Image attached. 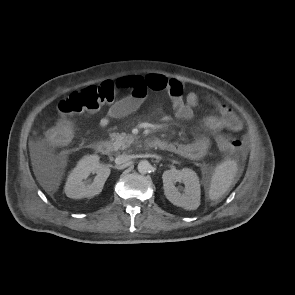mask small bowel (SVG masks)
<instances>
[{
  "label": "small bowel",
  "instance_id": "c3829d8e",
  "mask_svg": "<svg viewBox=\"0 0 295 295\" xmlns=\"http://www.w3.org/2000/svg\"><path fill=\"white\" fill-rule=\"evenodd\" d=\"M130 88V95L113 103L106 114L100 119V126L106 128L112 119H119L137 111L143 104L148 92L162 91L171 100L174 115L179 120L192 118L194 108L198 105L199 96L195 92L185 93L184 84L176 79L159 74H149L144 77L131 76L117 80ZM211 98L210 96H206ZM218 114L209 116L204 122L205 129L215 133L223 129L239 131L242 123L237 115L226 105L217 102ZM163 142V150L173 152L190 159H200L210 148V139L202 135L192 142Z\"/></svg>",
  "mask_w": 295,
  "mask_h": 295
}]
</instances>
